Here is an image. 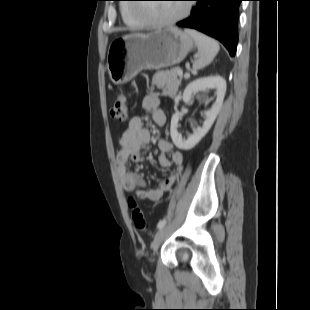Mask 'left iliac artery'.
<instances>
[{
	"label": "left iliac artery",
	"instance_id": "obj_1",
	"mask_svg": "<svg viewBox=\"0 0 310 310\" xmlns=\"http://www.w3.org/2000/svg\"><path fill=\"white\" fill-rule=\"evenodd\" d=\"M165 224H166V220H165V219L160 220V221L158 222V224H157V228H158V229H161L162 227L165 226Z\"/></svg>",
	"mask_w": 310,
	"mask_h": 310
}]
</instances>
